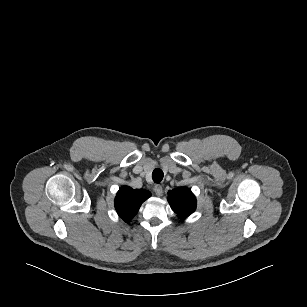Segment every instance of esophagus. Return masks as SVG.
<instances>
[{"label": "esophagus", "instance_id": "34e87169", "mask_svg": "<svg viewBox=\"0 0 307 307\" xmlns=\"http://www.w3.org/2000/svg\"><path fill=\"white\" fill-rule=\"evenodd\" d=\"M154 192L157 196H161L163 193V188L161 185L157 184L154 186Z\"/></svg>", "mask_w": 307, "mask_h": 307}]
</instances>
